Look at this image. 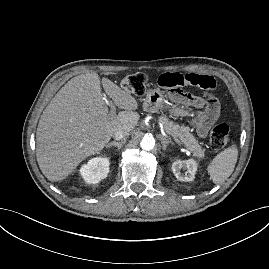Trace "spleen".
I'll return each mask as SVG.
<instances>
[{
  "label": "spleen",
  "instance_id": "obj_1",
  "mask_svg": "<svg viewBox=\"0 0 269 269\" xmlns=\"http://www.w3.org/2000/svg\"><path fill=\"white\" fill-rule=\"evenodd\" d=\"M238 158L236 144L220 152L209 164L208 173L215 184H221L233 173Z\"/></svg>",
  "mask_w": 269,
  "mask_h": 269
}]
</instances>
